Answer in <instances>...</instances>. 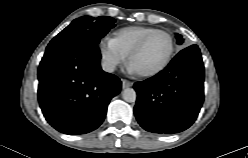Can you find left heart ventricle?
<instances>
[{
    "label": "left heart ventricle",
    "mask_w": 248,
    "mask_h": 158,
    "mask_svg": "<svg viewBox=\"0 0 248 158\" xmlns=\"http://www.w3.org/2000/svg\"><path fill=\"white\" fill-rule=\"evenodd\" d=\"M169 49V38L164 34H155L147 41L143 49L133 57L131 64L137 72L152 70L163 63Z\"/></svg>",
    "instance_id": "left-heart-ventricle-1"
}]
</instances>
